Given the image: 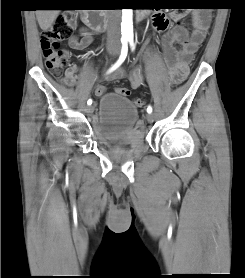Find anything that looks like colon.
Masks as SVG:
<instances>
[{"label": "colon", "mask_w": 245, "mask_h": 278, "mask_svg": "<svg viewBox=\"0 0 245 278\" xmlns=\"http://www.w3.org/2000/svg\"><path fill=\"white\" fill-rule=\"evenodd\" d=\"M206 11H213L214 7L211 4L205 3L200 5ZM74 27V20L68 14H58L55 17L54 24L43 30L41 33V47L45 59L46 67L51 75L57 79L63 76L64 67L67 64L69 55L60 48V41L71 35ZM182 79L180 77H173V84L178 85ZM117 94L127 97L130 91L124 87L116 89ZM134 104L137 107H142L144 101L141 98L134 99Z\"/></svg>", "instance_id": "1"}]
</instances>
